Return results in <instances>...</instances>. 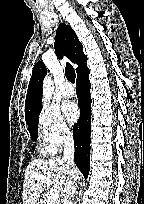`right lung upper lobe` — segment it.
<instances>
[{"label": "right lung upper lobe", "mask_w": 144, "mask_h": 204, "mask_svg": "<svg viewBox=\"0 0 144 204\" xmlns=\"http://www.w3.org/2000/svg\"><path fill=\"white\" fill-rule=\"evenodd\" d=\"M55 52L59 58L66 55L73 63L78 65L77 74L87 67V56L83 53V46L79 42L73 29L67 24L59 25L55 37ZM43 62L35 64L25 100V117H32L42 108V84L46 75Z\"/></svg>", "instance_id": "cb5924a9"}]
</instances>
